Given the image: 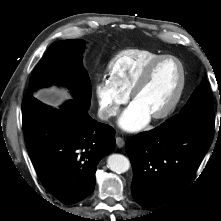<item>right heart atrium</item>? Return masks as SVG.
Here are the masks:
<instances>
[{"label":"right heart atrium","instance_id":"d8ad5b80","mask_svg":"<svg viewBox=\"0 0 221 221\" xmlns=\"http://www.w3.org/2000/svg\"><path fill=\"white\" fill-rule=\"evenodd\" d=\"M95 94L102 118L110 119L120 112L129 94L120 90L109 78H101L95 85Z\"/></svg>","mask_w":221,"mask_h":221}]
</instances>
